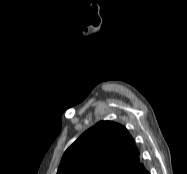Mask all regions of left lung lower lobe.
<instances>
[{"label":"left lung lower lobe","mask_w":187,"mask_h":174,"mask_svg":"<svg viewBox=\"0 0 187 174\" xmlns=\"http://www.w3.org/2000/svg\"><path fill=\"white\" fill-rule=\"evenodd\" d=\"M136 174H150L148 171L145 170V168L139 172H137Z\"/></svg>","instance_id":"1"}]
</instances>
